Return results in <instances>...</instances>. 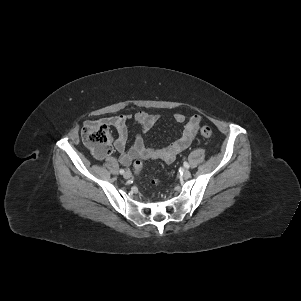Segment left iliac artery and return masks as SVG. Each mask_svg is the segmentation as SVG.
<instances>
[{"mask_svg": "<svg viewBox=\"0 0 301 301\" xmlns=\"http://www.w3.org/2000/svg\"><path fill=\"white\" fill-rule=\"evenodd\" d=\"M184 167L188 169L189 168V164L187 162H184Z\"/></svg>", "mask_w": 301, "mask_h": 301, "instance_id": "obj_1", "label": "left iliac artery"}]
</instances>
